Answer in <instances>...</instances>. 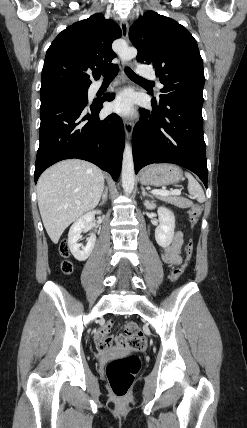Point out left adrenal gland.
Here are the masks:
<instances>
[{
  "mask_svg": "<svg viewBox=\"0 0 247 428\" xmlns=\"http://www.w3.org/2000/svg\"><path fill=\"white\" fill-rule=\"evenodd\" d=\"M141 189H142V195H143V196L147 195V196L152 197V195H151V194L147 193V191L145 190V188H144L143 186H141Z\"/></svg>",
  "mask_w": 247,
  "mask_h": 428,
  "instance_id": "1",
  "label": "left adrenal gland"
}]
</instances>
